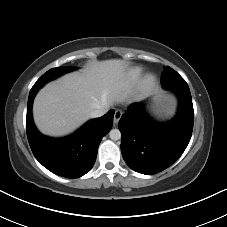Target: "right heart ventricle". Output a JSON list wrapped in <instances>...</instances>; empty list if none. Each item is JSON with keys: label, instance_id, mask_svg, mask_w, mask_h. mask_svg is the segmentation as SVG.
I'll return each mask as SVG.
<instances>
[{"label": "right heart ventricle", "instance_id": "1", "mask_svg": "<svg viewBox=\"0 0 227 227\" xmlns=\"http://www.w3.org/2000/svg\"><path fill=\"white\" fill-rule=\"evenodd\" d=\"M143 74V70L142 68L140 67H135V68H132L130 71H129V77L132 79V80H138L141 78Z\"/></svg>", "mask_w": 227, "mask_h": 227}]
</instances>
